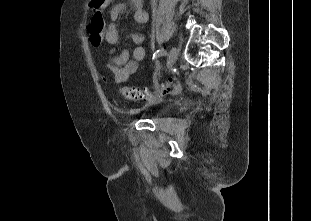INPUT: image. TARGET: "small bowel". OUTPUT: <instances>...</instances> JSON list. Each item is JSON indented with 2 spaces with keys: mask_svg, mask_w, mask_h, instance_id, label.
Returning a JSON list of instances; mask_svg holds the SVG:
<instances>
[{
  "mask_svg": "<svg viewBox=\"0 0 311 221\" xmlns=\"http://www.w3.org/2000/svg\"><path fill=\"white\" fill-rule=\"evenodd\" d=\"M130 5L133 8L134 20L139 24H144L148 21V14L142 7L141 0H130ZM97 11L99 8H96ZM125 9V4H117L110 9V24L105 32V39L111 46L110 52L114 51V47L119 41V32L116 22L121 13ZM132 39L136 46L133 49V58L130 59L129 51L123 50L119 55L113 57L110 61L109 68L114 76V80L117 83L124 82L128 77L134 74L139 67V62L144 60L146 56V50L142 45L144 42V36L141 34H133Z\"/></svg>",
  "mask_w": 311,
  "mask_h": 221,
  "instance_id": "1",
  "label": "small bowel"
}]
</instances>
